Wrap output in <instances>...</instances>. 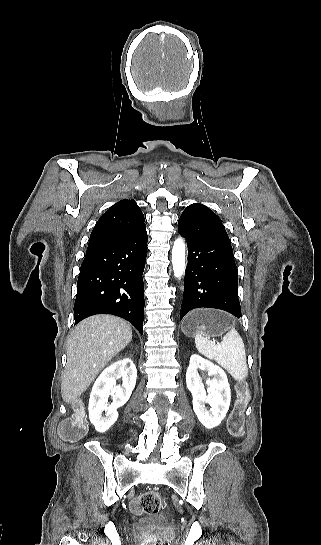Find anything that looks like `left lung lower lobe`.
Masks as SVG:
<instances>
[{"label": "left lung lower lobe", "instance_id": "obj_1", "mask_svg": "<svg viewBox=\"0 0 321 545\" xmlns=\"http://www.w3.org/2000/svg\"><path fill=\"white\" fill-rule=\"evenodd\" d=\"M178 232L186 239L188 264L180 320L195 308H216L241 317L238 271L221 219L202 204L185 208Z\"/></svg>", "mask_w": 321, "mask_h": 545}]
</instances>
